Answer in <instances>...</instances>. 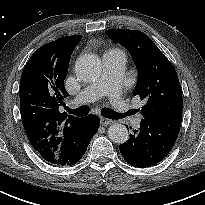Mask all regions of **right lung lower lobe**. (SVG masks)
I'll list each match as a JSON object with an SVG mask.
<instances>
[{
	"instance_id": "right-lung-lower-lobe-1",
	"label": "right lung lower lobe",
	"mask_w": 205,
	"mask_h": 205,
	"mask_svg": "<svg viewBox=\"0 0 205 205\" xmlns=\"http://www.w3.org/2000/svg\"><path fill=\"white\" fill-rule=\"evenodd\" d=\"M98 125L99 120L95 116L81 118L66 131L58 150L47 162L58 166L74 165L86 152Z\"/></svg>"
}]
</instances>
